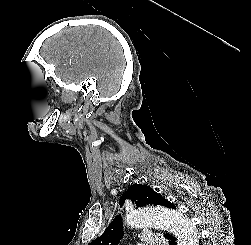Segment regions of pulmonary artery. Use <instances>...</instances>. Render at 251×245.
Listing matches in <instances>:
<instances>
[{"label":"pulmonary artery","instance_id":"pulmonary-artery-1","mask_svg":"<svg viewBox=\"0 0 251 245\" xmlns=\"http://www.w3.org/2000/svg\"><path fill=\"white\" fill-rule=\"evenodd\" d=\"M146 238V245H165L166 242L163 237L156 236V235H148Z\"/></svg>","mask_w":251,"mask_h":245}]
</instances>
